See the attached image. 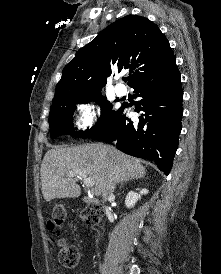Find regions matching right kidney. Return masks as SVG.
Returning a JSON list of instances; mask_svg holds the SVG:
<instances>
[{
	"label": "right kidney",
	"mask_w": 221,
	"mask_h": 274,
	"mask_svg": "<svg viewBox=\"0 0 221 274\" xmlns=\"http://www.w3.org/2000/svg\"><path fill=\"white\" fill-rule=\"evenodd\" d=\"M147 193V189H141L139 193H136L135 191H129L125 199V205L127 206V208L134 207L138 199H140L141 195H145Z\"/></svg>",
	"instance_id": "1"
}]
</instances>
